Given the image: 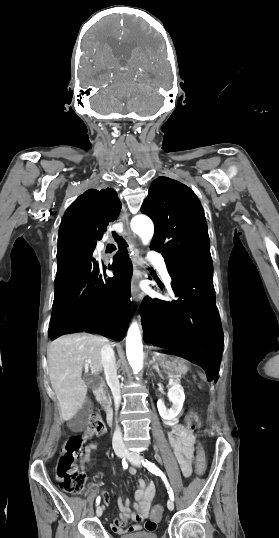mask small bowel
Segmentation results:
<instances>
[{
  "label": "small bowel",
  "mask_w": 279,
  "mask_h": 538,
  "mask_svg": "<svg viewBox=\"0 0 279 538\" xmlns=\"http://www.w3.org/2000/svg\"><path fill=\"white\" fill-rule=\"evenodd\" d=\"M170 427L171 432L167 436L168 442L174 449L182 474L184 477H189L192 473V457L195 438L181 424H170ZM95 449L96 445L93 443L86 445L81 460L82 467L90 462L91 454ZM136 472V468H129L130 475L133 476ZM155 494L156 485L153 482L146 485L143 479H139L138 488L135 492L136 503L134 505V511L130 500L119 496L117 502L120 514L111 524V529L117 534L136 532L142 529L154 530L156 528V523L153 520L147 521L144 524H142V522L149 516V511ZM104 501L106 505L109 504V495H105ZM130 520L134 521L135 524L128 526Z\"/></svg>",
  "instance_id": "c3829d8e"
}]
</instances>
